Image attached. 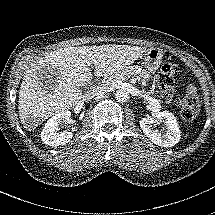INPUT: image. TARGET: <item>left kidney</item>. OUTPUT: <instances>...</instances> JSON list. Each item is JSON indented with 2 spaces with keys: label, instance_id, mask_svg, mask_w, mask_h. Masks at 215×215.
Here are the masks:
<instances>
[{
  "label": "left kidney",
  "instance_id": "obj_1",
  "mask_svg": "<svg viewBox=\"0 0 215 215\" xmlns=\"http://www.w3.org/2000/svg\"><path fill=\"white\" fill-rule=\"evenodd\" d=\"M139 123L143 133L159 147L169 148L179 142L180 131L176 119L169 112H158L153 117L142 118ZM157 127H160L161 132Z\"/></svg>",
  "mask_w": 215,
  "mask_h": 215
}]
</instances>
